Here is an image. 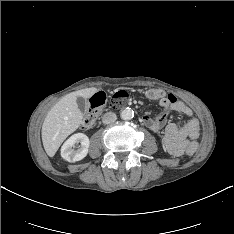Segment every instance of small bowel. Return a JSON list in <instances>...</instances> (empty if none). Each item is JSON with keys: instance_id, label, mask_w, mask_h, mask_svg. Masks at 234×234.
<instances>
[{"instance_id": "1", "label": "small bowel", "mask_w": 234, "mask_h": 234, "mask_svg": "<svg viewBox=\"0 0 234 234\" xmlns=\"http://www.w3.org/2000/svg\"><path fill=\"white\" fill-rule=\"evenodd\" d=\"M159 104L162 110L155 118H151L147 114L142 117L143 123L154 132H159L164 127L169 111H175L190 117L180 127L170 123L164 128L162 141L166 150L173 156H180L199 137V122L192 117V109L173 94H164L159 100Z\"/></svg>"}]
</instances>
